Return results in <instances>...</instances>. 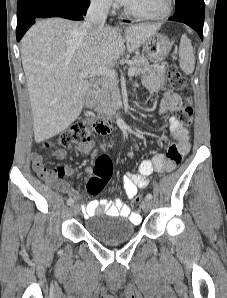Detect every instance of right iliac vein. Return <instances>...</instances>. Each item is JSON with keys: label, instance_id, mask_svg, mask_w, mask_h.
Returning a JSON list of instances; mask_svg holds the SVG:
<instances>
[{"label": "right iliac vein", "instance_id": "right-iliac-vein-1", "mask_svg": "<svg viewBox=\"0 0 227 298\" xmlns=\"http://www.w3.org/2000/svg\"><path fill=\"white\" fill-rule=\"evenodd\" d=\"M70 212L72 215L76 216L80 212V207L76 204L71 205Z\"/></svg>", "mask_w": 227, "mask_h": 298}]
</instances>
